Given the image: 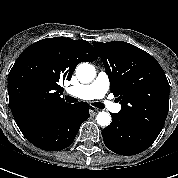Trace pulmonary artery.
<instances>
[{
  "label": "pulmonary artery",
  "instance_id": "1",
  "mask_svg": "<svg viewBox=\"0 0 178 178\" xmlns=\"http://www.w3.org/2000/svg\"><path fill=\"white\" fill-rule=\"evenodd\" d=\"M109 87V77L105 71H101L93 82L85 85L69 87L66 89V92L73 97L83 100L102 99L108 92ZM104 106L114 113H118L121 110L120 104L113 103L108 99L104 100Z\"/></svg>",
  "mask_w": 178,
  "mask_h": 178
}]
</instances>
